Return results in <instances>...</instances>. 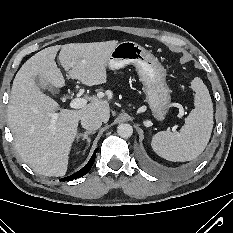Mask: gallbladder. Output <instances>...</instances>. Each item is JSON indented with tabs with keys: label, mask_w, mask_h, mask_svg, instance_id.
<instances>
[{
	"label": "gallbladder",
	"mask_w": 233,
	"mask_h": 233,
	"mask_svg": "<svg viewBox=\"0 0 233 233\" xmlns=\"http://www.w3.org/2000/svg\"><path fill=\"white\" fill-rule=\"evenodd\" d=\"M34 79H35L36 84L39 87H41V88H47L48 87V83L46 81H44L43 79H41L39 76H36Z\"/></svg>",
	"instance_id": "bac80fb5"
}]
</instances>
